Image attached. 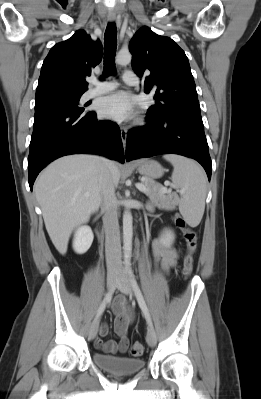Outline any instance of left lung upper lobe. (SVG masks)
Returning <instances> with one entry per match:
<instances>
[{"label": "left lung upper lobe", "mask_w": 261, "mask_h": 399, "mask_svg": "<svg viewBox=\"0 0 261 399\" xmlns=\"http://www.w3.org/2000/svg\"><path fill=\"white\" fill-rule=\"evenodd\" d=\"M129 50L134 72L149 73L144 92L155 90L150 113L165 116L184 108L200 109L188 58L171 38L143 27L131 39Z\"/></svg>", "instance_id": "left-lung-upper-lobe-1"}]
</instances>
